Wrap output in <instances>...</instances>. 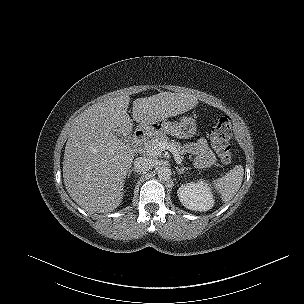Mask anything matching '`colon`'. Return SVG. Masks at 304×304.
Listing matches in <instances>:
<instances>
[{
    "label": "colon",
    "mask_w": 304,
    "mask_h": 304,
    "mask_svg": "<svg viewBox=\"0 0 304 304\" xmlns=\"http://www.w3.org/2000/svg\"><path fill=\"white\" fill-rule=\"evenodd\" d=\"M230 135V119L228 117L220 118L211 131L210 139L215 152L224 163H229L232 159L233 152L229 144Z\"/></svg>",
    "instance_id": "colon-1"
}]
</instances>
